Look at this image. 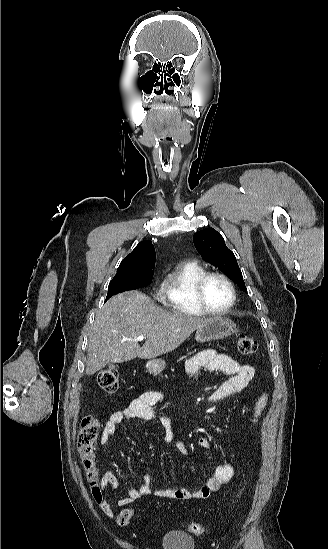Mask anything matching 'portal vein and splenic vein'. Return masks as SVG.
Listing matches in <instances>:
<instances>
[{
  "instance_id": "1",
  "label": "portal vein and splenic vein",
  "mask_w": 328,
  "mask_h": 549,
  "mask_svg": "<svg viewBox=\"0 0 328 549\" xmlns=\"http://www.w3.org/2000/svg\"><path fill=\"white\" fill-rule=\"evenodd\" d=\"M145 339L144 335H139V337H135V339H129V341H143Z\"/></svg>"
}]
</instances>
